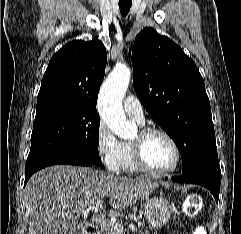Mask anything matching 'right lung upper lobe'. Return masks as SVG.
I'll use <instances>...</instances> for the list:
<instances>
[{"label":"right lung upper lobe","instance_id":"right-lung-upper-lobe-1","mask_svg":"<svg viewBox=\"0 0 241 234\" xmlns=\"http://www.w3.org/2000/svg\"><path fill=\"white\" fill-rule=\"evenodd\" d=\"M106 61V49L97 39L67 43L48 64L37 106L66 104L96 110Z\"/></svg>","mask_w":241,"mask_h":234}]
</instances>
